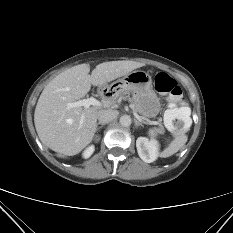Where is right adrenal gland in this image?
<instances>
[{
	"mask_svg": "<svg viewBox=\"0 0 233 233\" xmlns=\"http://www.w3.org/2000/svg\"><path fill=\"white\" fill-rule=\"evenodd\" d=\"M98 125H101V126L98 127ZM104 125H105V123H98V124H97V128H96V131L100 130Z\"/></svg>",
	"mask_w": 233,
	"mask_h": 233,
	"instance_id": "obj_1",
	"label": "right adrenal gland"
}]
</instances>
